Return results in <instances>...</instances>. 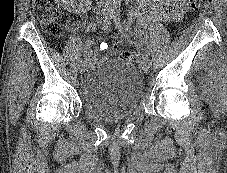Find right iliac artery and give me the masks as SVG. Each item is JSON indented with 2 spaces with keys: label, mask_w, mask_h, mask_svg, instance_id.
<instances>
[{
  "label": "right iliac artery",
  "mask_w": 227,
  "mask_h": 173,
  "mask_svg": "<svg viewBox=\"0 0 227 173\" xmlns=\"http://www.w3.org/2000/svg\"><path fill=\"white\" fill-rule=\"evenodd\" d=\"M112 15H113V12H112V14H110V16H108L107 18H105L104 20H103V28H104V30H106V31H108L109 29H110V24H111V22H110V19L112 18ZM82 62H85L84 60H81V63Z\"/></svg>",
  "instance_id": "obj_1"
}]
</instances>
